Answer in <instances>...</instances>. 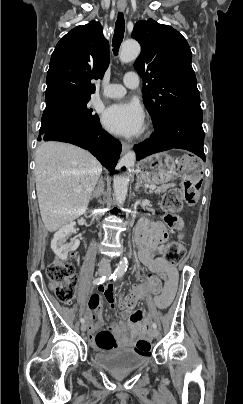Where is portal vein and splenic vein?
<instances>
[{
    "mask_svg": "<svg viewBox=\"0 0 243 404\" xmlns=\"http://www.w3.org/2000/svg\"><path fill=\"white\" fill-rule=\"evenodd\" d=\"M150 190H156V186H149Z\"/></svg>",
    "mask_w": 243,
    "mask_h": 404,
    "instance_id": "obj_1",
    "label": "portal vein and splenic vein"
}]
</instances>
